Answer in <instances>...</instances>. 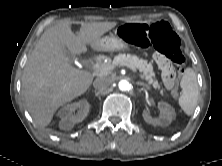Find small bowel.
<instances>
[{
    "mask_svg": "<svg viewBox=\"0 0 222 166\" xmlns=\"http://www.w3.org/2000/svg\"><path fill=\"white\" fill-rule=\"evenodd\" d=\"M163 56L159 53L154 55V61L158 65V67L161 69L162 68V62H163Z\"/></svg>",
    "mask_w": 222,
    "mask_h": 166,
    "instance_id": "1",
    "label": "small bowel"
}]
</instances>
